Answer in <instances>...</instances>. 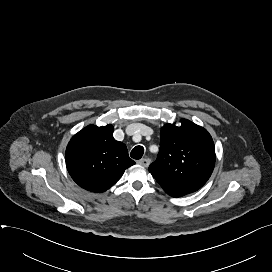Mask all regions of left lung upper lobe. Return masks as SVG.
<instances>
[{
	"label": "left lung upper lobe",
	"instance_id": "obj_1",
	"mask_svg": "<svg viewBox=\"0 0 272 272\" xmlns=\"http://www.w3.org/2000/svg\"><path fill=\"white\" fill-rule=\"evenodd\" d=\"M215 147L206 129L182 119L161 128L160 151L149 172L172 197L199 190L211 176Z\"/></svg>",
	"mask_w": 272,
	"mask_h": 272
}]
</instances>
